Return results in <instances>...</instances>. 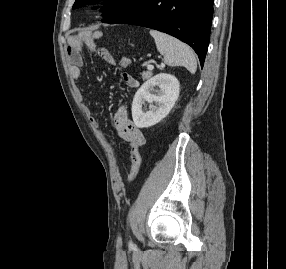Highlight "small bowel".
Returning a JSON list of instances; mask_svg holds the SVG:
<instances>
[{
    "label": "small bowel",
    "instance_id": "small-bowel-1",
    "mask_svg": "<svg viewBox=\"0 0 286 269\" xmlns=\"http://www.w3.org/2000/svg\"><path fill=\"white\" fill-rule=\"evenodd\" d=\"M85 45L91 51H97L99 56L105 63L109 65H117L114 56L109 50L102 48L97 49L95 47V44L91 41H86ZM67 54L71 63L70 76L72 79L77 80L81 77L82 67L84 65V60L82 56V42L76 39H70L69 46L67 48ZM127 82L130 83V81ZM89 120L94 128L99 127V123L96 118L90 115ZM113 121L114 126L118 131L120 137L130 147L131 169L130 174L127 178V182L131 183L135 180L141 168L143 155L140 152V148L145 144L146 140L142 130L132 123L129 117L128 108L126 106L122 105L117 108L114 114Z\"/></svg>",
    "mask_w": 286,
    "mask_h": 269
}]
</instances>
